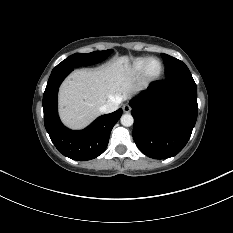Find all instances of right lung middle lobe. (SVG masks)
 Instances as JSON below:
<instances>
[{"label":"right lung middle lobe","instance_id":"right-lung-middle-lobe-1","mask_svg":"<svg viewBox=\"0 0 233 233\" xmlns=\"http://www.w3.org/2000/svg\"><path fill=\"white\" fill-rule=\"evenodd\" d=\"M112 52L113 50L109 49L104 51H94L87 54L76 53L59 63L53 71L96 64L106 59Z\"/></svg>","mask_w":233,"mask_h":233}]
</instances>
